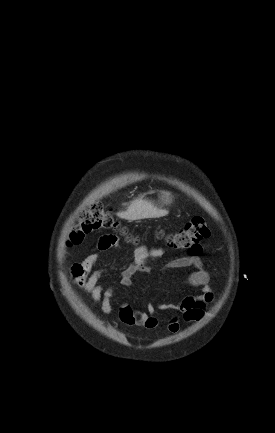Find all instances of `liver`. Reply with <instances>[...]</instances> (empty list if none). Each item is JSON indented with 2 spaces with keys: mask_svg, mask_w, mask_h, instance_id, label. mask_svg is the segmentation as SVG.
<instances>
[{
  "mask_svg": "<svg viewBox=\"0 0 275 433\" xmlns=\"http://www.w3.org/2000/svg\"><path fill=\"white\" fill-rule=\"evenodd\" d=\"M166 214L167 211L158 209L153 202L138 198L131 202L126 211L118 213V216L122 219L134 221L144 218L161 217Z\"/></svg>",
  "mask_w": 275,
  "mask_h": 433,
  "instance_id": "6515ba94",
  "label": "liver"
}]
</instances>
